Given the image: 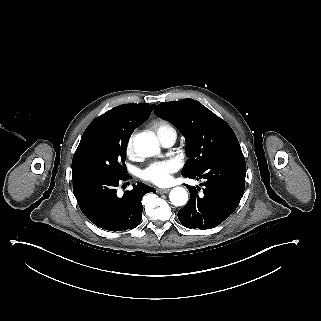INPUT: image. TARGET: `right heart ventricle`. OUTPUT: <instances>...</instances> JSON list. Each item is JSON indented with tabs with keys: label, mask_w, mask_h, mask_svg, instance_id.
I'll return each mask as SVG.
<instances>
[{
	"label": "right heart ventricle",
	"mask_w": 321,
	"mask_h": 321,
	"mask_svg": "<svg viewBox=\"0 0 321 321\" xmlns=\"http://www.w3.org/2000/svg\"><path fill=\"white\" fill-rule=\"evenodd\" d=\"M151 124L156 130L159 137L169 131H176L174 126L169 121L163 118H154L152 119Z\"/></svg>",
	"instance_id": "1"
}]
</instances>
